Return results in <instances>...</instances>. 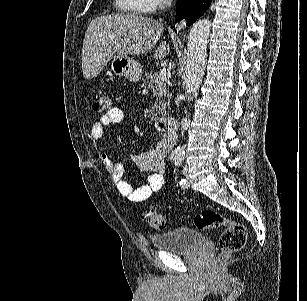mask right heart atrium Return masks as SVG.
<instances>
[{
	"mask_svg": "<svg viewBox=\"0 0 307 301\" xmlns=\"http://www.w3.org/2000/svg\"><path fill=\"white\" fill-rule=\"evenodd\" d=\"M158 7H162V0H140L139 4H135V11H157Z\"/></svg>",
	"mask_w": 307,
	"mask_h": 301,
	"instance_id": "d8ad5b80",
	"label": "right heart atrium"
}]
</instances>
